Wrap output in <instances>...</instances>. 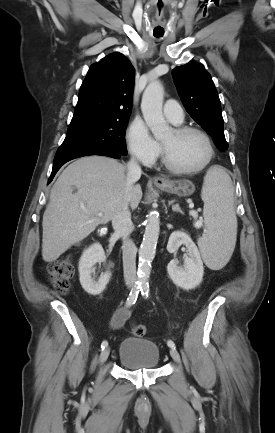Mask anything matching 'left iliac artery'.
<instances>
[{
	"mask_svg": "<svg viewBox=\"0 0 275 433\" xmlns=\"http://www.w3.org/2000/svg\"><path fill=\"white\" fill-rule=\"evenodd\" d=\"M141 293H142V295L145 297V298H147L148 297V295H149V285L148 284H143L142 286H141ZM167 345L170 347V348H175V344H174V342L173 341H171V340H169L168 342H167Z\"/></svg>",
	"mask_w": 275,
	"mask_h": 433,
	"instance_id": "left-iliac-artery-1",
	"label": "left iliac artery"
}]
</instances>
